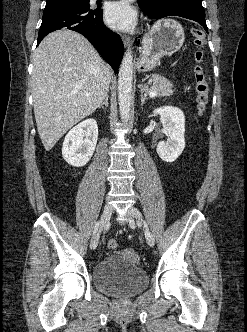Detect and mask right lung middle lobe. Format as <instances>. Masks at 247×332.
Segmentation results:
<instances>
[{
    "instance_id": "obj_1",
    "label": "right lung middle lobe",
    "mask_w": 247,
    "mask_h": 332,
    "mask_svg": "<svg viewBox=\"0 0 247 332\" xmlns=\"http://www.w3.org/2000/svg\"><path fill=\"white\" fill-rule=\"evenodd\" d=\"M46 6H53L59 4H73V5H80L85 7H90L89 1L90 0H46Z\"/></svg>"
}]
</instances>
